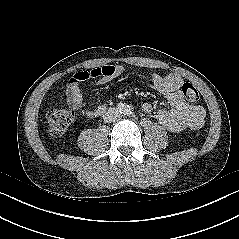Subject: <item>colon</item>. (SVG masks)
Returning <instances> with one entry per match:
<instances>
[{
	"mask_svg": "<svg viewBox=\"0 0 239 239\" xmlns=\"http://www.w3.org/2000/svg\"><path fill=\"white\" fill-rule=\"evenodd\" d=\"M184 97L192 103L199 100L198 90L189 82L183 83L181 87ZM74 120V112L70 109L51 110L47 114L48 129L51 135L59 136L63 134Z\"/></svg>",
	"mask_w": 239,
	"mask_h": 239,
	"instance_id": "5ec220e1",
	"label": "colon"
}]
</instances>
